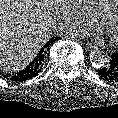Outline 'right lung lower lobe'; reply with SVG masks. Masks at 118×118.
Returning a JSON list of instances; mask_svg holds the SVG:
<instances>
[{"label": "right lung lower lobe", "mask_w": 118, "mask_h": 118, "mask_svg": "<svg viewBox=\"0 0 118 118\" xmlns=\"http://www.w3.org/2000/svg\"><path fill=\"white\" fill-rule=\"evenodd\" d=\"M56 39H59V38H55L52 40H56ZM48 45H49V42L45 46H48ZM44 55H45V51H44V48H42L39 51L37 57L25 69L12 75L3 74V76L5 78H8L13 81H18V82L25 81L27 79H30L36 76L44 64Z\"/></svg>", "instance_id": "1"}]
</instances>
